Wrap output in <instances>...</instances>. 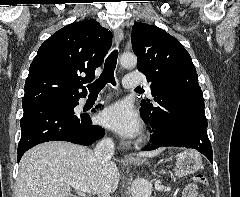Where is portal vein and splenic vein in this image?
<instances>
[{"label":"portal vein and splenic vein","mask_w":240,"mask_h":197,"mask_svg":"<svg viewBox=\"0 0 240 197\" xmlns=\"http://www.w3.org/2000/svg\"><path fill=\"white\" fill-rule=\"evenodd\" d=\"M70 186H72L75 190H79L85 193H91L90 189L82 183H70Z\"/></svg>","instance_id":"18ae733b"}]
</instances>
